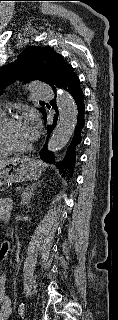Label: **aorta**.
Here are the masks:
<instances>
[{
  "label": "aorta",
  "mask_w": 118,
  "mask_h": 320,
  "mask_svg": "<svg viewBox=\"0 0 118 320\" xmlns=\"http://www.w3.org/2000/svg\"><path fill=\"white\" fill-rule=\"evenodd\" d=\"M57 106L59 110L58 123L47 145L51 152H57L66 146L77 123V106L73 97L67 91L58 90Z\"/></svg>",
  "instance_id": "obj_1"
}]
</instances>
